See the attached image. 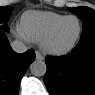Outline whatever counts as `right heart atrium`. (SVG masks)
<instances>
[{"label":"right heart atrium","instance_id":"1","mask_svg":"<svg viewBox=\"0 0 95 95\" xmlns=\"http://www.w3.org/2000/svg\"><path fill=\"white\" fill-rule=\"evenodd\" d=\"M14 32L18 38H20L24 41L29 40V38L26 36V34L23 32V30L20 28V26L15 27Z\"/></svg>","mask_w":95,"mask_h":95}]
</instances>
